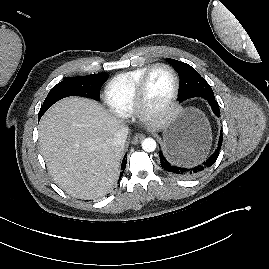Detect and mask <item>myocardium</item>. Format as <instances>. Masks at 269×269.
Masks as SVG:
<instances>
[{
  "mask_svg": "<svg viewBox=\"0 0 269 269\" xmlns=\"http://www.w3.org/2000/svg\"><path fill=\"white\" fill-rule=\"evenodd\" d=\"M156 68L167 69L173 77V88L168 99L163 105L157 108H152L146 100V86L150 74ZM180 89V79L176 70L166 63H155L147 68L140 78L134 96V112L143 121H154L166 116L174 106Z\"/></svg>",
  "mask_w": 269,
  "mask_h": 269,
  "instance_id": "f54148a6",
  "label": "myocardium"
}]
</instances>
